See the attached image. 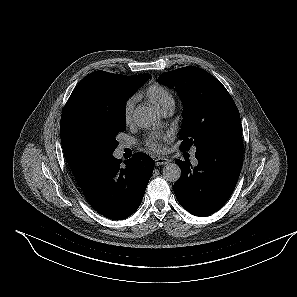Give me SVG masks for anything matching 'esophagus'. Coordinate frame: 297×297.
<instances>
[{
	"mask_svg": "<svg viewBox=\"0 0 297 297\" xmlns=\"http://www.w3.org/2000/svg\"><path fill=\"white\" fill-rule=\"evenodd\" d=\"M169 162H170V160L167 158H164V157H158L155 159L156 166H161V165L167 164Z\"/></svg>",
	"mask_w": 297,
	"mask_h": 297,
	"instance_id": "1",
	"label": "esophagus"
}]
</instances>
